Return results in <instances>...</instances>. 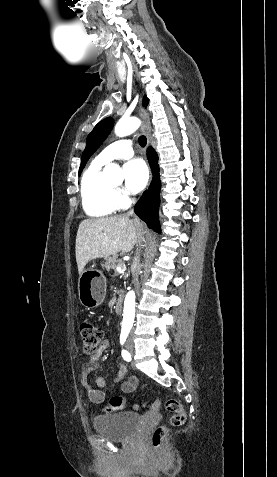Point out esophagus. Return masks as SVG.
Here are the masks:
<instances>
[{
  "mask_svg": "<svg viewBox=\"0 0 277 477\" xmlns=\"http://www.w3.org/2000/svg\"><path fill=\"white\" fill-rule=\"evenodd\" d=\"M140 116L143 120L142 131L147 137V143L150 144V119L148 113L143 107L140 108Z\"/></svg>",
  "mask_w": 277,
  "mask_h": 477,
  "instance_id": "1",
  "label": "esophagus"
}]
</instances>
